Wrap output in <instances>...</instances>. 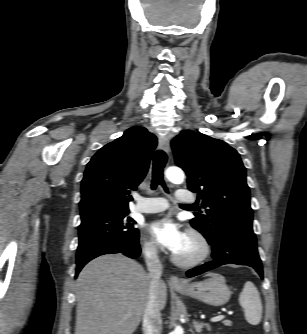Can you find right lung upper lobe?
<instances>
[{
    "label": "right lung upper lobe",
    "instance_id": "right-lung-upper-lobe-1",
    "mask_svg": "<svg viewBox=\"0 0 307 334\" xmlns=\"http://www.w3.org/2000/svg\"><path fill=\"white\" fill-rule=\"evenodd\" d=\"M156 137L134 126L102 147L87 164L81 185V216L100 212H129L135 190L149 168Z\"/></svg>",
    "mask_w": 307,
    "mask_h": 334
}]
</instances>
